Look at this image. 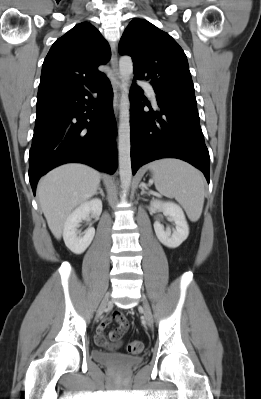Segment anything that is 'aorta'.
<instances>
[{
  "label": "aorta",
  "mask_w": 261,
  "mask_h": 399,
  "mask_svg": "<svg viewBox=\"0 0 261 399\" xmlns=\"http://www.w3.org/2000/svg\"><path fill=\"white\" fill-rule=\"evenodd\" d=\"M121 80V105L119 116V174L123 190H129L132 179L131 142H130V108H129V81L133 73V62L130 56H122L119 60Z\"/></svg>",
  "instance_id": "aorta-1"
}]
</instances>
